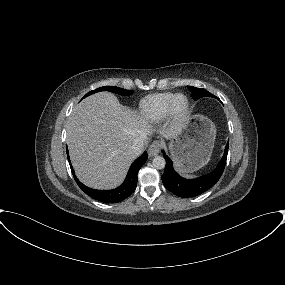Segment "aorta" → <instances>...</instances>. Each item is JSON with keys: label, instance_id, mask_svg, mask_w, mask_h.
Masks as SVG:
<instances>
[{"label": "aorta", "instance_id": "obj_1", "mask_svg": "<svg viewBox=\"0 0 285 285\" xmlns=\"http://www.w3.org/2000/svg\"><path fill=\"white\" fill-rule=\"evenodd\" d=\"M152 164L156 169H163L165 167L166 161L162 156H155L152 160Z\"/></svg>", "mask_w": 285, "mask_h": 285}]
</instances>
